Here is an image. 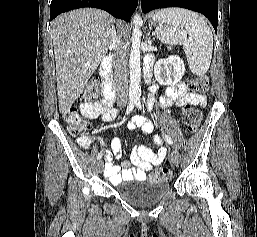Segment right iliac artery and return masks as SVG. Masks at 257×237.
Listing matches in <instances>:
<instances>
[{
    "label": "right iliac artery",
    "mask_w": 257,
    "mask_h": 237,
    "mask_svg": "<svg viewBox=\"0 0 257 237\" xmlns=\"http://www.w3.org/2000/svg\"><path fill=\"white\" fill-rule=\"evenodd\" d=\"M134 105H135L134 102H130V103H129V105H128L127 109H126V114H129V113L133 110ZM101 157H102V152H100V153L98 154L97 159L100 160Z\"/></svg>",
    "instance_id": "obj_1"
}]
</instances>
